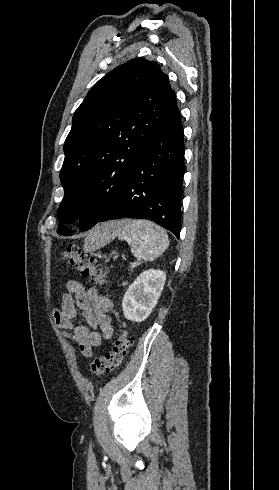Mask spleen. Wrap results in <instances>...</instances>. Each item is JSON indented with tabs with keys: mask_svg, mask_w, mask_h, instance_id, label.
Masks as SVG:
<instances>
[{
	"mask_svg": "<svg viewBox=\"0 0 279 490\" xmlns=\"http://www.w3.org/2000/svg\"><path fill=\"white\" fill-rule=\"evenodd\" d=\"M117 224L118 230H114L112 234H99V230L92 232L93 238L90 240H93V250L103 248L114 236H118L119 240H125L129 244L134 258L153 262L162 256L169 246L165 230L149 220H121Z\"/></svg>",
	"mask_w": 279,
	"mask_h": 490,
	"instance_id": "3e777b00",
	"label": "spleen"
}]
</instances>
